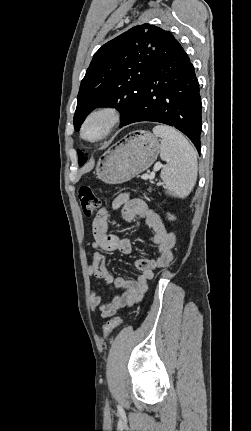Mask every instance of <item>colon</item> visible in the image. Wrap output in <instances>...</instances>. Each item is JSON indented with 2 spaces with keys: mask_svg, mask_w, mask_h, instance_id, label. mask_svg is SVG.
<instances>
[{
  "mask_svg": "<svg viewBox=\"0 0 251 431\" xmlns=\"http://www.w3.org/2000/svg\"><path fill=\"white\" fill-rule=\"evenodd\" d=\"M78 198L81 209L86 217H90L100 206V198L88 186H82L78 190ZM122 316H115L104 325V337L107 338L119 326Z\"/></svg>",
  "mask_w": 251,
  "mask_h": 431,
  "instance_id": "5ec220e1",
  "label": "colon"
}]
</instances>
